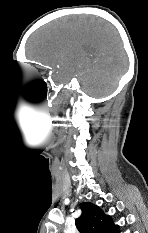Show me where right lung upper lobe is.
I'll return each instance as SVG.
<instances>
[{"instance_id": "obj_1", "label": "right lung upper lobe", "mask_w": 148, "mask_h": 233, "mask_svg": "<svg viewBox=\"0 0 148 233\" xmlns=\"http://www.w3.org/2000/svg\"><path fill=\"white\" fill-rule=\"evenodd\" d=\"M82 214L75 224L80 233H119V227L103 210L90 203L81 204Z\"/></svg>"}]
</instances>
